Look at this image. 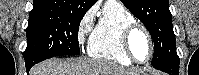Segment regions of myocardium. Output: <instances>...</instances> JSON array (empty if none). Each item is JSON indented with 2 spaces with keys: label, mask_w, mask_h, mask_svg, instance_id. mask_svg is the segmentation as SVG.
I'll list each match as a JSON object with an SVG mask.
<instances>
[{
  "label": "myocardium",
  "mask_w": 199,
  "mask_h": 75,
  "mask_svg": "<svg viewBox=\"0 0 199 75\" xmlns=\"http://www.w3.org/2000/svg\"><path fill=\"white\" fill-rule=\"evenodd\" d=\"M136 30H139L141 32H143L145 34V36L147 37L148 39V42H149V45H150V53H149V56L148 58L143 61V62H140L138 61L135 56L133 55L132 51H131V47H130V38L132 36V34L136 31ZM121 41H122V45L124 47V50L127 54V56L130 58V60L136 64H140V65H144V64H147L149 63V61L151 60L153 54H154V42H153V38L150 34V32L148 31V29L138 23L137 21L135 22H132L128 25H126L122 32H121Z\"/></svg>",
  "instance_id": "1"
}]
</instances>
